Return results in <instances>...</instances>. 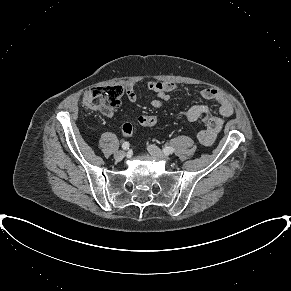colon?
Masks as SVG:
<instances>
[{"mask_svg":"<svg viewBox=\"0 0 291 291\" xmlns=\"http://www.w3.org/2000/svg\"><path fill=\"white\" fill-rule=\"evenodd\" d=\"M123 88L118 85L99 86L85 92L82 99L83 107L88 111H107L117 108L123 96ZM186 119V112L181 113L179 118ZM159 123L155 115H143L139 117L138 124L144 127H154ZM133 124L126 123L122 127V133L130 136L133 132Z\"/></svg>","mask_w":291,"mask_h":291,"instance_id":"obj_1","label":"colon"}]
</instances>
